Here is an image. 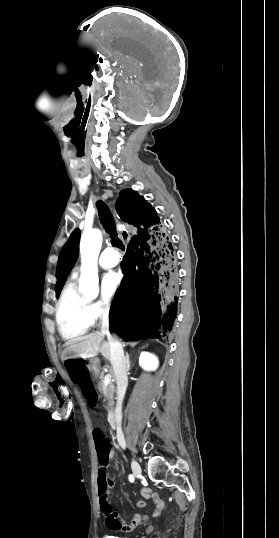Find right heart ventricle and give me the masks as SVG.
Segmentation results:
<instances>
[{
  "label": "right heart ventricle",
  "instance_id": "1",
  "mask_svg": "<svg viewBox=\"0 0 279 538\" xmlns=\"http://www.w3.org/2000/svg\"><path fill=\"white\" fill-rule=\"evenodd\" d=\"M90 233L101 235L98 230L86 228L82 233V239ZM56 323L65 340H73L84 335L95 323L92 300L79 291L77 275H72L62 290L56 304Z\"/></svg>",
  "mask_w": 279,
  "mask_h": 538
}]
</instances>
